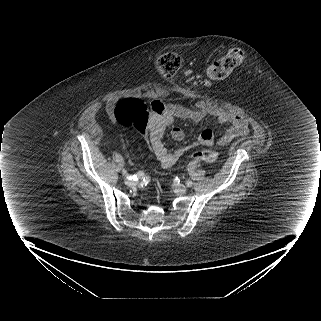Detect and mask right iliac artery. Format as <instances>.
<instances>
[{
	"label": "right iliac artery",
	"mask_w": 321,
	"mask_h": 321,
	"mask_svg": "<svg viewBox=\"0 0 321 321\" xmlns=\"http://www.w3.org/2000/svg\"><path fill=\"white\" fill-rule=\"evenodd\" d=\"M123 175L127 178V179H134L136 180L137 177L142 176V174H137V175H133V177L129 176V174L127 173V171L125 169L122 170Z\"/></svg>",
	"instance_id": "right-iliac-artery-1"
}]
</instances>
